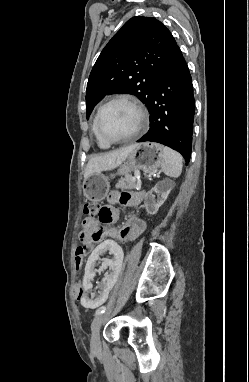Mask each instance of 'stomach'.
Wrapping results in <instances>:
<instances>
[{
  "instance_id": "stomach-1",
  "label": "stomach",
  "mask_w": 249,
  "mask_h": 382,
  "mask_svg": "<svg viewBox=\"0 0 249 382\" xmlns=\"http://www.w3.org/2000/svg\"><path fill=\"white\" fill-rule=\"evenodd\" d=\"M163 160L162 146L157 143L145 142L134 145L118 170L119 175H128L132 171L142 170L152 173L158 169ZM114 175H106L102 172L93 173L84 180L83 192L85 197L91 201H101L107 195L110 188V178Z\"/></svg>"
}]
</instances>
